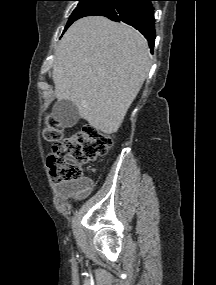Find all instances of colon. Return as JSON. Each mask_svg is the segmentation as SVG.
<instances>
[{"label":"colon","mask_w":216,"mask_h":285,"mask_svg":"<svg viewBox=\"0 0 216 285\" xmlns=\"http://www.w3.org/2000/svg\"><path fill=\"white\" fill-rule=\"evenodd\" d=\"M44 137L53 145L47 164L58 183L80 181L82 165L104 156L112 145L111 137L94 126L64 137L62 125L52 117L46 120Z\"/></svg>","instance_id":"colon-1"}]
</instances>
